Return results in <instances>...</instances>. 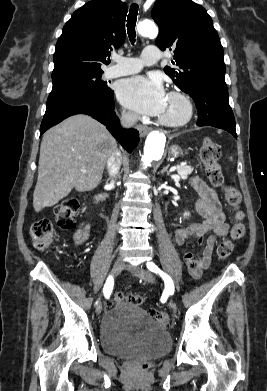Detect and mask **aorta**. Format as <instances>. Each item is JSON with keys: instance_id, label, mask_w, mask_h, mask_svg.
<instances>
[{"instance_id": "obj_1", "label": "aorta", "mask_w": 267, "mask_h": 391, "mask_svg": "<svg viewBox=\"0 0 267 391\" xmlns=\"http://www.w3.org/2000/svg\"><path fill=\"white\" fill-rule=\"evenodd\" d=\"M137 30L139 34L144 37H156L158 34V29L152 21H143L139 23ZM165 142V135L159 131H152L148 134L144 146V155L142 157L144 167L149 166L153 161L162 156Z\"/></svg>"}]
</instances>
